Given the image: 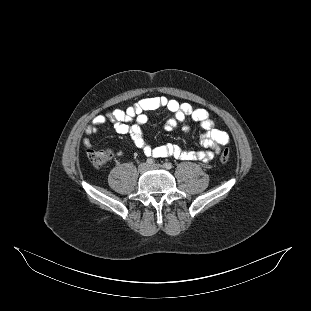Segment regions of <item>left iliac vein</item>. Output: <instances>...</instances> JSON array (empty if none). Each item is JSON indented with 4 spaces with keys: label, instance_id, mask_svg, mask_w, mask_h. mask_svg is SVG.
<instances>
[{
    "label": "left iliac vein",
    "instance_id": "1",
    "mask_svg": "<svg viewBox=\"0 0 311 311\" xmlns=\"http://www.w3.org/2000/svg\"><path fill=\"white\" fill-rule=\"evenodd\" d=\"M149 168H150V169H161V168H163V166L160 165V164H153V165H151Z\"/></svg>",
    "mask_w": 311,
    "mask_h": 311
}]
</instances>
